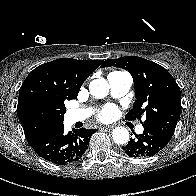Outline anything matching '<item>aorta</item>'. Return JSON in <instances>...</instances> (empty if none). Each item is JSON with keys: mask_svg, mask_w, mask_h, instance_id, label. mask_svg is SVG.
Here are the masks:
<instances>
[{"mask_svg": "<svg viewBox=\"0 0 196 196\" xmlns=\"http://www.w3.org/2000/svg\"><path fill=\"white\" fill-rule=\"evenodd\" d=\"M92 96L102 99L108 95L109 84L104 78L92 80L89 85ZM112 138L117 144H125L129 140V132L124 127H117L112 131Z\"/></svg>", "mask_w": 196, "mask_h": 196, "instance_id": "1", "label": "aorta"}]
</instances>
